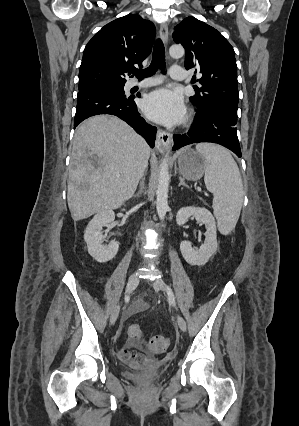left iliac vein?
Returning <instances> with one entry per match:
<instances>
[{"mask_svg": "<svg viewBox=\"0 0 299 426\" xmlns=\"http://www.w3.org/2000/svg\"><path fill=\"white\" fill-rule=\"evenodd\" d=\"M153 287L156 290H162V291L166 290L165 282L162 279H156L153 282ZM177 324H178L181 331H183V332L186 331V328H187L186 322H185L184 318L179 314L177 315Z\"/></svg>", "mask_w": 299, "mask_h": 426, "instance_id": "1", "label": "left iliac vein"}]
</instances>
